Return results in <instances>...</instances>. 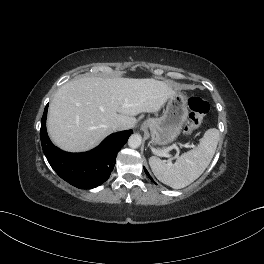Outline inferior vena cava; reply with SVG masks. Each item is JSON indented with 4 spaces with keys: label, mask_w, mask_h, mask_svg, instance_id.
Listing matches in <instances>:
<instances>
[{
    "label": "inferior vena cava",
    "mask_w": 264,
    "mask_h": 264,
    "mask_svg": "<svg viewBox=\"0 0 264 264\" xmlns=\"http://www.w3.org/2000/svg\"><path fill=\"white\" fill-rule=\"evenodd\" d=\"M113 129L114 130H124L125 129V125L123 123H115L113 125Z\"/></svg>",
    "instance_id": "obj_1"
}]
</instances>
